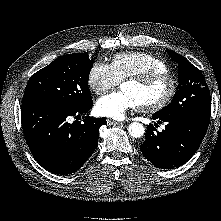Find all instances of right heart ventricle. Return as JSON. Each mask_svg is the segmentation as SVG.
<instances>
[{
	"mask_svg": "<svg viewBox=\"0 0 221 221\" xmlns=\"http://www.w3.org/2000/svg\"><path fill=\"white\" fill-rule=\"evenodd\" d=\"M111 67L119 81L150 72L168 71L161 58L146 52H122L113 56Z\"/></svg>",
	"mask_w": 221,
	"mask_h": 221,
	"instance_id": "e07e8e85",
	"label": "right heart ventricle"
}]
</instances>
